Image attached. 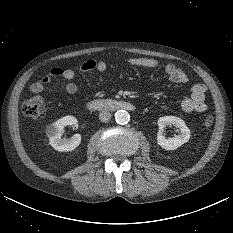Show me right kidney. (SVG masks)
Masks as SVG:
<instances>
[{"mask_svg": "<svg viewBox=\"0 0 233 233\" xmlns=\"http://www.w3.org/2000/svg\"><path fill=\"white\" fill-rule=\"evenodd\" d=\"M68 125H76L77 119L74 116L68 115L62 117L52 123L47 129V136L49 137L50 145L57 151L68 152L72 151L81 143L80 134H75L70 139H62V131Z\"/></svg>", "mask_w": 233, "mask_h": 233, "instance_id": "right-kidney-1", "label": "right kidney"}]
</instances>
